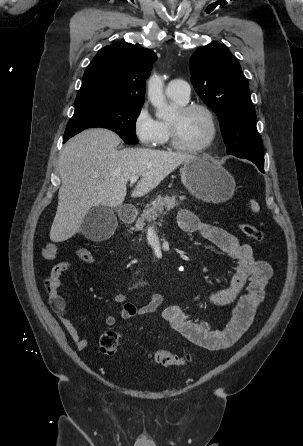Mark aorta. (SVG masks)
<instances>
[{
    "mask_svg": "<svg viewBox=\"0 0 303 446\" xmlns=\"http://www.w3.org/2000/svg\"><path fill=\"white\" fill-rule=\"evenodd\" d=\"M164 82L159 75H153L148 82V99L156 109V116L166 119L172 116L174 110L166 102L163 92Z\"/></svg>",
    "mask_w": 303,
    "mask_h": 446,
    "instance_id": "1",
    "label": "aorta"
}]
</instances>
